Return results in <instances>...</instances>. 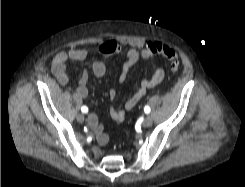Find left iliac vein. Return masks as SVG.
<instances>
[{"mask_svg": "<svg viewBox=\"0 0 245 187\" xmlns=\"http://www.w3.org/2000/svg\"><path fill=\"white\" fill-rule=\"evenodd\" d=\"M152 122H153V120H152L151 116L148 115V116L145 117V119L143 121V125L145 127H149V126L152 125Z\"/></svg>", "mask_w": 245, "mask_h": 187, "instance_id": "4c4485c4", "label": "left iliac vein"}]
</instances>
